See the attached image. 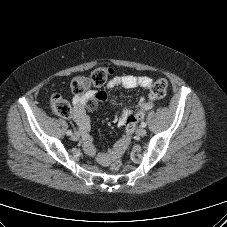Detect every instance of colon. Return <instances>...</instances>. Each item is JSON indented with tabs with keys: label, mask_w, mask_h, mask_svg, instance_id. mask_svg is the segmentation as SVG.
Returning a JSON list of instances; mask_svg holds the SVG:
<instances>
[{
	"label": "colon",
	"mask_w": 227,
	"mask_h": 227,
	"mask_svg": "<svg viewBox=\"0 0 227 227\" xmlns=\"http://www.w3.org/2000/svg\"><path fill=\"white\" fill-rule=\"evenodd\" d=\"M113 74V70L109 67L102 66L95 69L89 76L78 75L75 76L70 83L72 91L76 95H81L87 92L91 87L103 86L110 76ZM168 83L165 79L156 80L150 89L148 100L138 109V111L131 117L128 118L127 124L132 125L138 120L142 119L146 112L150 110L154 102L165 96L167 91ZM51 110L64 118H68L72 114L71 105L60 95H54L50 100ZM122 156L121 154L114 157L110 164L112 171H118L122 167Z\"/></svg>",
	"instance_id": "5ec220e1"
}]
</instances>
